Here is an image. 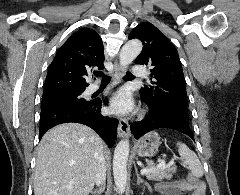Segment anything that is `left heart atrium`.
I'll return each mask as SVG.
<instances>
[{
	"label": "left heart atrium",
	"instance_id": "39dd6f15",
	"mask_svg": "<svg viewBox=\"0 0 240 195\" xmlns=\"http://www.w3.org/2000/svg\"><path fill=\"white\" fill-rule=\"evenodd\" d=\"M133 102L128 92L124 90L118 91L111 99L110 111L118 115H124L131 112Z\"/></svg>",
	"mask_w": 240,
	"mask_h": 195
}]
</instances>
